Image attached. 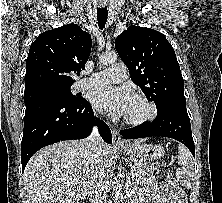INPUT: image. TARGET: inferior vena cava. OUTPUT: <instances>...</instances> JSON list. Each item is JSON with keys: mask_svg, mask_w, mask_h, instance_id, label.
<instances>
[{"mask_svg": "<svg viewBox=\"0 0 222 203\" xmlns=\"http://www.w3.org/2000/svg\"><path fill=\"white\" fill-rule=\"evenodd\" d=\"M102 139L97 127H93L92 133L84 140L86 156L95 162L101 161L100 145ZM91 203H106L108 191V174L104 168H99L89 183Z\"/></svg>", "mask_w": 222, "mask_h": 203, "instance_id": "1", "label": "inferior vena cava"}]
</instances>
